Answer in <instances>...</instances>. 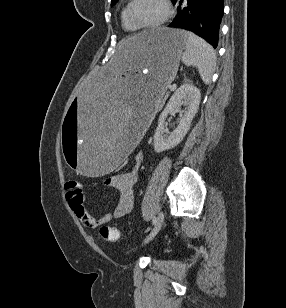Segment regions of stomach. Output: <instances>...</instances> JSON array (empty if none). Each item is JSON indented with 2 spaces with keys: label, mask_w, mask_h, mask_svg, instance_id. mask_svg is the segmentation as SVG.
Segmentation results:
<instances>
[{
  "label": "stomach",
  "mask_w": 286,
  "mask_h": 308,
  "mask_svg": "<svg viewBox=\"0 0 286 308\" xmlns=\"http://www.w3.org/2000/svg\"><path fill=\"white\" fill-rule=\"evenodd\" d=\"M186 32L158 28L148 36H123L106 65L94 69L62 118L61 152L70 173L110 177L137 149L154 107L174 80Z\"/></svg>",
  "instance_id": "1"
}]
</instances>
